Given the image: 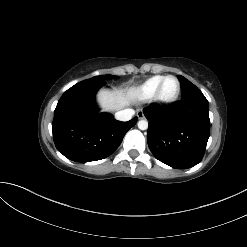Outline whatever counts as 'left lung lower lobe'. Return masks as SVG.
I'll return each instance as SVG.
<instances>
[{
  "label": "left lung lower lobe",
  "mask_w": 247,
  "mask_h": 247,
  "mask_svg": "<svg viewBox=\"0 0 247 247\" xmlns=\"http://www.w3.org/2000/svg\"><path fill=\"white\" fill-rule=\"evenodd\" d=\"M149 120L147 141L153 155L177 169L198 164L210 135L208 101L198 88L187 92L182 100L166 107L143 110Z\"/></svg>",
  "instance_id": "0a47b994"
}]
</instances>
